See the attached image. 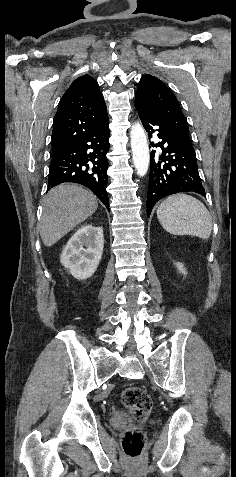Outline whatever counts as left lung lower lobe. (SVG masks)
Masks as SVG:
<instances>
[{
	"mask_svg": "<svg viewBox=\"0 0 236 477\" xmlns=\"http://www.w3.org/2000/svg\"><path fill=\"white\" fill-rule=\"evenodd\" d=\"M135 107L149 139L153 133L160 139L156 144L151 142L152 147L162 150L161 154L152 150L150 155L148 217L156 202L168 195L192 191L205 196L193 146L179 140L142 105L135 103Z\"/></svg>",
	"mask_w": 236,
	"mask_h": 477,
	"instance_id": "obj_1",
	"label": "left lung lower lobe"
}]
</instances>
